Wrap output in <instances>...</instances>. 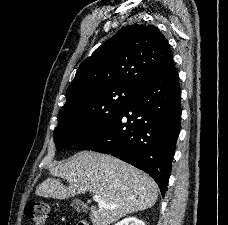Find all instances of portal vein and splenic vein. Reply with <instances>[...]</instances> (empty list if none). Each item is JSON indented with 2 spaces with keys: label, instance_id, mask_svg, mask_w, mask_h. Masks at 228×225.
I'll return each instance as SVG.
<instances>
[{
  "label": "portal vein and splenic vein",
  "instance_id": "obj_1",
  "mask_svg": "<svg viewBox=\"0 0 228 225\" xmlns=\"http://www.w3.org/2000/svg\"><path fill=\"white\" fill-rule=\"evenodd\" d=\"M92 199H93V201H96V203H99V201H101V199H99L98 195H93ZM108 207H110V209H114V207H116V205H108Z\"/></svg>",
  "mask_w": 228,
  "mask_h": 225
}]
</instances>
